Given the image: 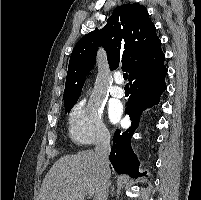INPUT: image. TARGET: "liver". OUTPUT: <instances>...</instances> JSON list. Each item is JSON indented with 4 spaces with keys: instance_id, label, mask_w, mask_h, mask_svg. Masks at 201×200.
<instances>
[{
    "instance_id": "1",
    "label": "liver",
    "mask_w": 201,
    "mask_h": 200,
    "mask_svg": "<svg viewBox=\"0 0 201 200\" xmlns=\"http://www.w3.org/2000/svg\"><path fill=\"white\" fill-rule=\"evenodd\" d=\"M102 172L92 150L65 155L57 160L45 176L40 200H84L90 193L98 200Z\"/></svg>"
}]
</instances>
